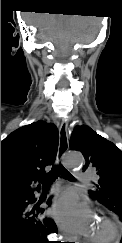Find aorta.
Segmentation results:
<instances>
[{
  "label": "aorta",
  "mask_w": 122,
  "mask_h": 243,
  "mask_svg": "<svg viewBox=\"0 0 122 243\" xmlns=\"http://www.w3.org/2000/svg\"><path fill=\"white\" fill-rule=\"evenodd\" d=\"M65 162L69 168L80 167L83 163V157L80 153L71 152L66 156Z\"/></svg>",
  "instance_id": "1"
}]
</instances>
